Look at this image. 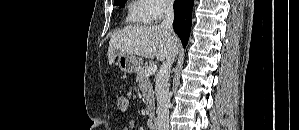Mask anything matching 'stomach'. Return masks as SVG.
<instances>
[{
	"label": "stomach",
	"instance_id": "1",
	"mask_svg": "<svg viewBox=\"0 0 299 130\" xmlns=\"http://www.w3.org/2000/svg\"><path fill=\"white\" fill-rule=\"evenodd\" d=\"M117 65L124 73L131 74L137 72L142 66V60L131 54H119Z\"/></svg>",
	"mask_w": 299,
	"mask_h": 130
}]
</instances>
